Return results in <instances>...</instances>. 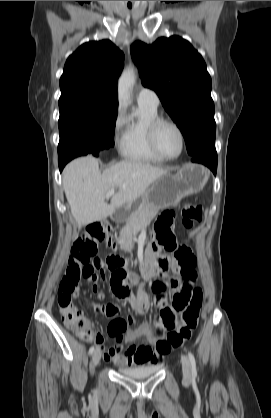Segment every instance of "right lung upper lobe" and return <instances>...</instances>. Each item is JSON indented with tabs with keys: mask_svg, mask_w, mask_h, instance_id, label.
Returning a JSON list of instances; mask_svg holds the SVG:
<instances>
[{
	"mask_svg": "<svg viewBox=\"0 0 271 418\" xmlns=\"http://www.w3.org/2000/svg\"><path fill=\"white\" fill-rule=\"evenodd\" d=\"M123 61V52L109 40L80 46L64 66L59 104L80 101L118 106L116 84Z\"/></svg>",
	"mask_w": 271,
	"mask_h": 418,
	"instance_id": "cb5924a9",
	"label": "right lung upper lobe"
}]
</instances>
